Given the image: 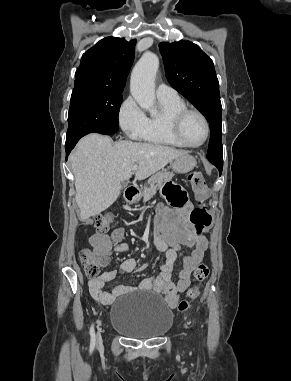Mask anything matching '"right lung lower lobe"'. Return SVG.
Returning a JSON list of instances; mask_svg holds the SVG:
<instances>
[{"mask_svg":"<svg viewBox=\"0 0 291 381\" xmlns=\"http://www.w3.org/2000/svg\"><path fill=\"white\" fill-rule=\"evenodd\" d=\"M118 131V127L117 128H113V129H110V130H106V131H103L101 132V134H104V135H110V134H114L115 132ZM78 141H74V142H66L65 144V150H66V160L68 158V155L69 153L71 152V150L74 148V146L76 145Z\"/></svg>","mask_w":291,"mask_h":381,"instance_id":"98d812e1","label":"right lung lower lobe"}]
</instances>
